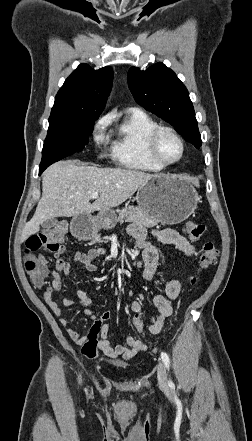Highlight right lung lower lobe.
Instances as JSON below:
<instances>
[{
	"instance_id": "1",
	"label": "right lung lower lobe",
	"mask_w": 252,
	"mask_h": 441,
	"mask_svg": "<svg viewBox=\"0 0 252 441\" xmlns=\"http://www.w3.org/2000/svg\"><path fill=\"white\" fill-rule=\"evenodd\" d=\"M46 168L39 167V174H41Z\"/></svg>"
}]
</instances>
